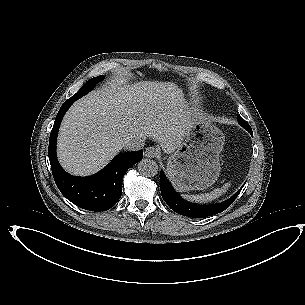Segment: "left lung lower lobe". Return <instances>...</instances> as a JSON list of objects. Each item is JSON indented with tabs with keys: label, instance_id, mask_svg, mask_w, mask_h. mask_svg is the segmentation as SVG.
I'll return each mask as SVG.
<instances>
[{
	"label": "left lung lower lobe",
	"instance_id": "left-lung-lower-lobe-1",
	"mask_svg": "<svg viewBox=\"0 0 305 305\" xmlns=\"http://www.w3.org/2000/svg\"><path fill=\"white\" fill-rule=\"evenodd\" d=\"M160 190L162 197L164 201L167 203V205L175 212L182 215L185 204H193L188 201H185L182 199L176 191L172 188L171 184L165 177L163 171L160 172ZM239 192H237L235 195H233L230 199L223 203L215 204V205H197L200 206L205 212H203L200 216L202 217H208L215 215L217 213H220L227 209L233 201L238 196ZM201 217V218H202Z\"/></svg>",
	"mask_w": 305,
	"mask_h": 305
}]
</instances>
